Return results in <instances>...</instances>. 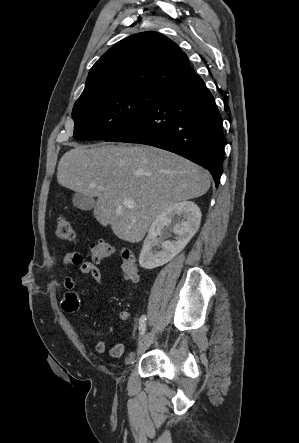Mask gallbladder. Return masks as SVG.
<instances>
[{
  "label": "gallbladder",
  "mask_w": 299,
  "mask_h": 443,
  "mask_svg": "<svg viewBox=\"0 0 299 443\" xmlns=\"http://www.w3.org/2000/svg\"><path fill=\"white\" fill-rule=\"evenodd\" d=\"M73 205L84 211H90L95 206V200L93 197L86 196L81 193H75L72 198Z\"/></svg>",
  "instance_id": "obj_1"
}]
</instances>
